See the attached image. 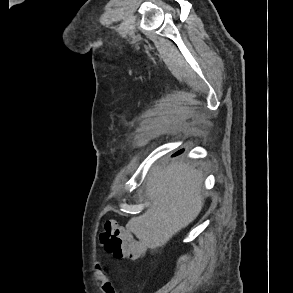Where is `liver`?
Instances as JSON below:
<instances>
[{
    "label": "liver",
    "mask_w": 293,
    "mask_h": 293,
    "mask_svg": "<svg viewBox=\"0 0 293 293\" xmlns=\"http://www.w3.org/2000/svg\"><path fill=\"white\" fill-rule=\"evenodd\" d=\"M203 173L184 161L155 165L147 180L150 207L131 218L127 228L146 246L163 247L199 215L203 207Z\"/></svg>",
    "instance_id": "liver-1"
}]
</instances>
